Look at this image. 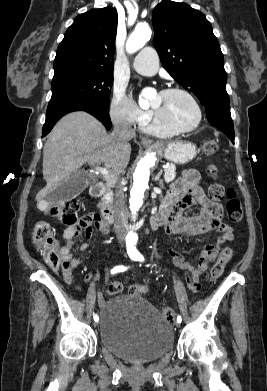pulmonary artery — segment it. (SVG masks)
<instances>
[{"label":"pulmonary artery","mask_w":267,"mask_h":391,"mask_svg":"<svg viewBox=\"0 0 267 391\" xmlns=\"http://www.w3.org/2000/svg\"><path fill=\"white\" fill-rule=\"evenodd\" d=\"M133 69L141 75H154L159 67V57L152 47L143 48L133 59Z\"/></svg>","instance_id":"1"}]
</instances>
